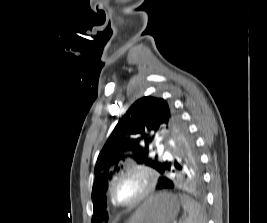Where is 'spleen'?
Wrapping results in <instances>:
<instances>
[{
	"label": "spleen",
	"mask_w": 267,
	"mask_h": 223,
	"mask_svg": "<svg viewBox=\"0 0 267 223\" xmlns=\"http://www.w3.org/2000/svg\"><path fill=\"white\" fill-rule=\"evenodd\" d=\"M179 197L183 208L188 212L184 223H206L205 212L195 200L185 194H180Z\"/></svg>",
	"instance_id": "spleen-1"
}]
</instances>
